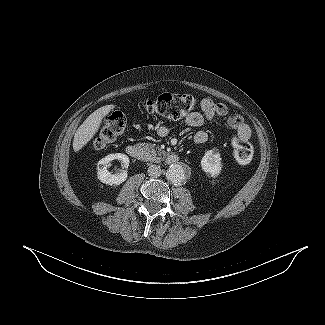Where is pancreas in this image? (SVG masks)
Here are the masks:
<instances>
[{
  "instance_id": "pancreas-1",
  "label": "pancreas",
  "mask_w": 325,
  "mask_h": 325,
  "mask_svg": "<svg viewBox=\"0 0 325 325\" xmlns=\"http://www.w3.org/2000/svg\"><path fill=\"white\" fill-rule=\"evenodd\" d=\"M143 147V150L145 152V157L149 161H160L162 158L158 156H166V152L162 151L158 146L151 143H141L140 144Z\"/></svg>"
}]
</instances>
